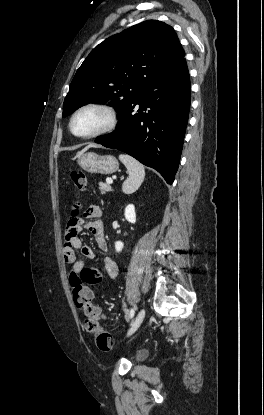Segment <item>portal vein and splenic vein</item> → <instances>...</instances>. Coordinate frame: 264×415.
<instances>
[{
  "label": "portal vein and splenic vein",
  "instance_id": "obj_1",
  "mask_svg": "<svg viewBox=\"0 0 264 415\" xmlns=\"http://www.w3.org/2000/svg\"><path fill=\"white\" fill-rule=\"evenodd\" d=\"M107 183L108 184H112L113 183V180L112 179H107Z\"/></svg>",
  "mask_w": 264,
  "mask_h": 415
}]
</instances>
